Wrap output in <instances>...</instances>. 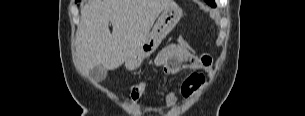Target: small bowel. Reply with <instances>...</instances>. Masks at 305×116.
<instances>
[{
	"instance_id": "c3829d8e",
	"label": "small bowel",
	"mask_w": 305,
	"mask_h": 116,
	"mask_svg": "<svg viewBox=\"0 0 305 116\" xmlns=\"http://www.w3.org/2000/svg\"><path fill=\"white\" fill-rule=\"evenodd\" d=\"M154 63L166 75H174L184 68L208 71L211 69L212 58L208 54L195 53L186 40H184L183 42L179 41L177 44H171L162 49L156 56ZM190 75L180 85V95L184 99L191 98L205 84L203 75L196 73L197 77L195 79H192ZM165 101L170 108H175L178 103V97L171 89H167Z\"/></svg>"
}]
</instances>
